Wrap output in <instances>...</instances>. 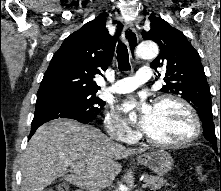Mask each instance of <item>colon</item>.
Here are the masks:
<instances>
[{
	"label": "colon",
	"instance_id": "obj_1",
	"mask_svg": "<svg viewBox=\"0 0 221 191\" xmlns=\"http://www.w3.org/2000/svg\"><path fill=\"white\" fill-rule=\"evenodd\" d=\"M198 171L200 172V170L198 169ZM45 191H68L67 190V186L64 183L58 184L56 187L53 188H48ZM206 191H214L213 189H208Z\"/></svg>",
	"mask_w": 221,
	"mask_h": 191
}]
</instances>
